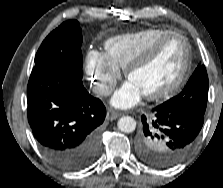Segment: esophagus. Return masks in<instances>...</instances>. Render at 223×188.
Segmentation results:
<instances>
[{"label":"esophagus","instance_id":"esophagus-1","mask_svg":"<svg viewBox=\"0 0 223 188\" xmlns=\"http://www.w3.org/2000/svg\"><path fill=\"white\" fill-rule=\"evenodd\" d=\"M119 116H120L119 113H117V112H115V111H113V110H111V109H109V110L107 111V119H108V120H114V119H117Z\"/></svg>","mask_w":223,"mask_h":188}]
</instances>
